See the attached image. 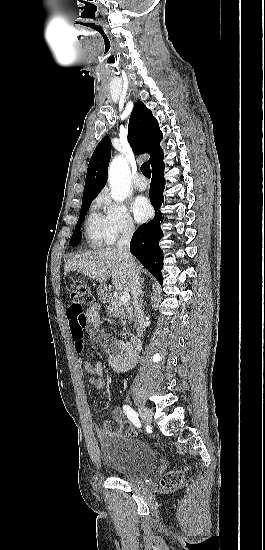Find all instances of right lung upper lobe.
Masks as SVG:
<instances>
[{
  "mask_svg": "<svg viewBox=\"0 0 265 550\" xmlns=\"http://www.w3.org/2000/svg\"><path fill=\"white\" fill-rule=\"evenodd\" d=\"M162 137L156 118L141 101H138L129 119L128 139L133 151L149 153V163L154 167L163 159V151L159 145ZM110 156L111 140L104 137L90 159L82 199L95 198L105 186Z\"/></svg>",
  "mask_w": 265,
  "mask_h": 550,
  "instance_id": "right-lung-upper-lobe-1",
  "label": "right lung upper lobe"
}]
</instances>
